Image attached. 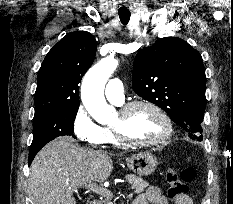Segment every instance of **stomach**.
I'll return each instance as SVG.
<instances>
[{
	"instance_id": "stomach-1",
	"label": "stomach",
	"mask_w": 233,
	"mask_h": 204,
	"mask_svg": "<svg viewBox=\"0 0 233 204\" xmlns=\"http://www.w3.org/2000/svg\"><path fill=\"white\" fill-rule=\"evenodd\" d=\"M128 168L139 176L152 174L158 165L157 158L150 152H140L126 159Z\"/></svg>"
}]
</instances>
